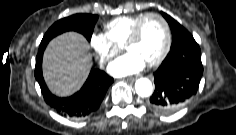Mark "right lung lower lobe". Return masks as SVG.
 Masks as SVG:
<instances>
[{"label": "right lung lower lobe", "instance_id": "obj_1", "mask_svg": "<svg viewBox=\"0 0 236 135\" xmlns=\"http://www.w3.org/2000/svg\"><path fill=\"white\" fill-rule=\"evenodd\" d=\"M45 48L46 46L39 47L34 74L46 103L59 114L72 118H83L95 112L113 78L104 71L92 69L80 91L67 98L56 97L48 90L42 75V57Z\"/></svg>", "mask_w": 236, "mask_h": 135}]
</instances>
